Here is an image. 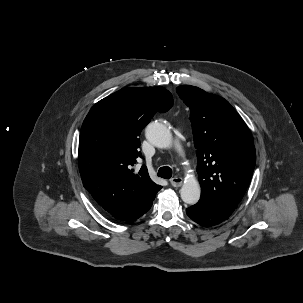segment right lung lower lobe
<instances>
[{
    "label": "right lung lower lobe",
    "instance_id": "right-lung-lower-lobe-1",
    "mask_svg": "<svg viewBox=\"0 0 303 303\" xmlns=\"http://www.w3.org/2000/svg\"><path fill=\"white\" fill-rule=\"evenodd\" d=\"M152 202H153V201H152ZM152 202H151V204L147 207V209H146L143 213H141L139 216H137L136 218H134V219H133L132 221H130V222H133L134 220L140 218L145 212H147V211L151 208Z\"/></svg>",
    "mask_w": 303,
    "mask_h": 303
}]
</instances>
